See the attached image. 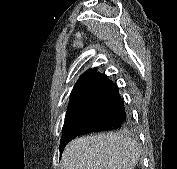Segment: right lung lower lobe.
<instances>
[{"mask_svg": "<svg viewBox=\"0 0 177 169\" xmlns=\"http://www.w3.org/2000/svg\"><path fill=\"white\" fill-rule=\"evenodd\" d=\"M89 101L75 117L65 121L60 140V152L76 136L121 128L127 114L118 87L103 74L96 73L87 83Z\"/></svg>", "mask_w": 177, "mask_h": 169, "instance_id": "obj_1", "label": "right lung lower lobe"}]
</instances>
